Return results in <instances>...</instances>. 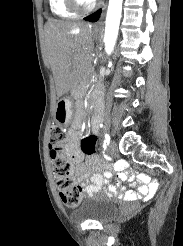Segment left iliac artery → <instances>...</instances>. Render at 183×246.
<instances>
[{
    "mask_svg": "<svg viewBox=\"0 0 183 246\" xmlns=\"http://www.w3.org/2000/svg\"><path fill=\"white\" fill-rule=\"evenodd\" d=\"M109 143H110V136H109V134L106 133L105 134L104 145H103L104 149L107 148V146L109 145Z\"/></svg>",
    "mask_w": 183,
    "mask_h": 246,
    "instance_id": "44dca946",
    "label": "left iliac artery"
}]
</instances>
